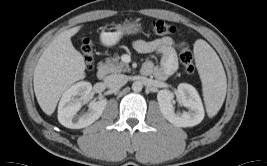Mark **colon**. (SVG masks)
Returning <instances> with one entry per match:
<instances>
[{
    "mask_svg": "<svg viewBox=\"0 0 267 166\" xmlns=\"http://www.w3.org/2000/svg\"><path fill=\"white\" fill-rule=\"evenodd\" d=\"M152 31L156 35H171L179 33L174 26L161 19L154 20L152 22ZM81 49L86 66L88 69H91L94 64V49L92 42L88 39H85L82 42ZM179 51H180V61L183 64L187 73L189 74L194 73L195 65L193 62L192 53L189 49L188 44L185 41H182L180 43Z\"/></svg>",
    "mask_w": 267,
    "mask_h": 166,
    "instance_id": "colon-1",
    "label": "colon"
}]
</instances>
